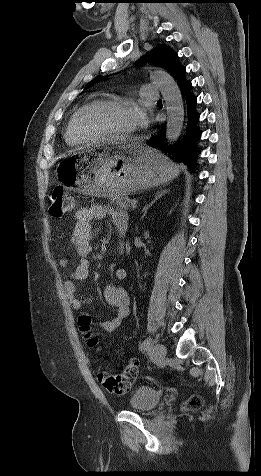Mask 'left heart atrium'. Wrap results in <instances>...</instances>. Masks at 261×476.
<instances>
[{"label":"left heart atrium","mask_w":261,"mask_h":476,"mask_svg":"<svg viewBox=\"0 0 261 476\" xmlns=\"http://www.w3.org/2000/svg\"><path fill=\"white\" fill-rule=\"evenodd\" d=\"M134 115H135V127L134 128H138V127H145L148 123V119L145 115V113L143 112V110H141L140 108H134Z\"/></svg>","instance_id":"obj_1"}]
</instances>
